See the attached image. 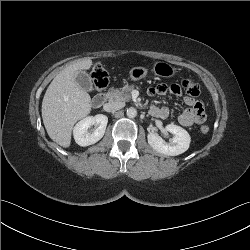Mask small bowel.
Here are the masks:
<instances>
[{
    "label": "small bowel",
    "mask_w": 250,
    "mask_h": 250,
    "mask_svg": "<svg viewBox=\"0 0 250 250\" xmlns=\"http://www.w3.org/2000/svg\"><path fill=\"white\" fill-rule=\"evenodd\" d=\"M170 91L174 95H179L182 92V87L179 84H173L167 86L165 84H159L155 87L148 89L149 95L165 94ZM184 103L188 106L178 117V121L182 126L190 127L194 124H201L205 121L206 115L204 107L201 101L192 97H184ZM150 111L153 116L166 119L170 115V111L166 107L152 106Z\"/></svg>",
    "instance_id": "small-bowel-1"
}]
</instances>
